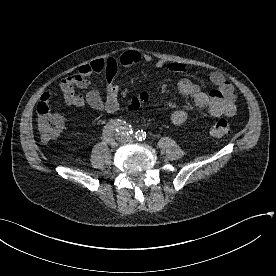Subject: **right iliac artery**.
Segmentation results:
<instances>
[{
    "label": "right iliac artery",
    "mask_w": 276,
    "mask_h": 276,
    "mask_svg": "<svg viewBox=\"0 0 276 276\" xmlns=\"http://www.w3.org/2000/svg\"><path fill=\"white\" fill-rule=\"evenodd\" d=\"M115 131L127 136L133 133L132 126L125 121L111 120L103 129V139L109 142Z\"/></svg>",
    "instance_id": "82829eb1"
}]
</instances>
